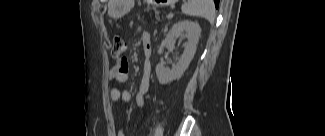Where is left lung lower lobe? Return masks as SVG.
Listing matches in <instances>:
<instances>
[{"label": "left lung lower lobe", "mask_w": 325, "mask_h": 136, "mask_svg": "<svg viewBox=\"0 0 325 136\" xmlns=\"http://www.w3.org/2000/svg\"><path fill=\"white\" fill-rule=\"evenodd\" d=\"M216 8L218 7L219 0H214Z\"/></svg>", "instance_id": "obj_1"}]
</instances>
